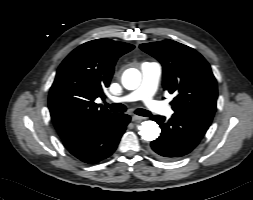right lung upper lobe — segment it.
<instances>
[{"label":"right lung upper lobe","instance_id":"right-lung-upper-lobe-1","mask_svg":"<svg viewBox=\"0 0 253 200\" xmlns=\"http://www.w3.org/2000/svg\"><path fill=\"white\" fill-rule=\"evenodd\" d=\"M133 45L97 39L73 50L58 68L48 106L62 140L95 128L112 117L95 99H104L117 59Z\"/></svg>","mask_w":253,"mask_h":200}]
</instances>
